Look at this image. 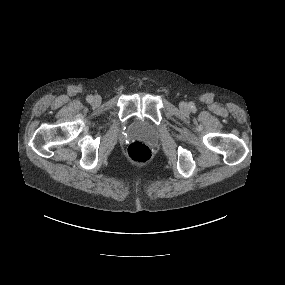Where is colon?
<instances>
[{"label":"colon","mask_w":285,"mask_h":285,"mask_svg":"<svg viewBox=\"0 0 285 285\" xmlns=\"http://www.w3.org/2000/svg\"><path fill=\"white\" fill-rule=\"evenodd\" d=\"M128 156L132 162L145 163L151 157V149L143 142L134 141L128 147Z\"/></svg>","instance_id":"obj_1"}]
</instances>
